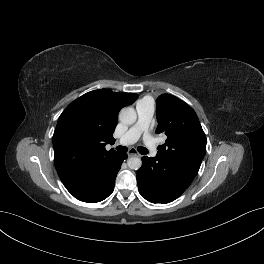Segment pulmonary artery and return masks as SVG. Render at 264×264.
Returning a JSON list of instances; mask_svg holds the SVG:
<instances>
[{"instance_id":"1","label":"pulmonary artery","mask_w":264,"mask_h":264,"mask_svg":"<svg viewBox=\"0 0 264 264\" xmlns=\"http://www.w3.org/2000/svg\"><path fill=\"white\" fill-rule=\"evenodd\" d=\"M136 111L138 115L137 122L118 140V143L120 145L133 144L143 134L146 147L150 151L151 156H155L157 153L156 144L147 133L149 123L154 114V105L151 101L142 100L137 104Z\"/></svg>"}]
</instances>
